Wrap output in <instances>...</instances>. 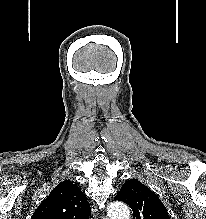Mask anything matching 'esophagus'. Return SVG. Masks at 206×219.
I'll use <instances>...</instances> for the list:
<instances>
[{
    "mask_svg": "<svg viewBox=\"0 0 206 219\" xmlns=\"http://www.w3.org/2000/svg\"><path fill=\"white\" fill-rule=\"evenodd\" d=\"M92 214L94 219H108L105 215L98 211L95 205L92 206Z\"/></svg>",
    "mask_w": 206,
    "mask_h": 219,
    "instance_id": "obj_1",
    "label": "esophagus"
}]
</instances>
